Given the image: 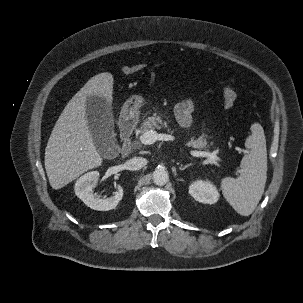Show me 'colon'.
<instances>
[{"label":"colon","instance_id":"5ec220e1","mask_svg":"<svg viewBox=\"0 0 303 303\" xmlns=\"http://www.w3.org/2000/svg\"><path fill=\"white\" fill-rule=\"evenodd\" d=\"M144 67H145L144 64H137L131 66H122L120 70L124 74H132L142 70ZM222 95H223L224 106L227 109H232L237 102V93L234 86L231 83L226 84L223 87Z\"/></svg>","mask_w":303,"mask_h":303}]
</instances>
